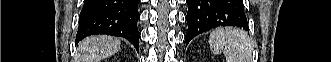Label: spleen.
Returning a JSON list of instances; mask_svg holds the SVG:
<instances>
[{
    "mask_svg": "<svg viewBox=\"0 0 331 62\" xmlns=\"http://www.w3.org/2000/svg\"><path fill=\"white\" fill-rule=\"evenodd\" d=\"M215 54L224 53L227 62H250L251 44L248 36L237 28L217 29L209 38Z\"/></svg>",
    "mask_w": 331,
    "mask_h": 62,
    "instance_id": "spleen-1",
    "label": "spleen"
}]
</instances>
